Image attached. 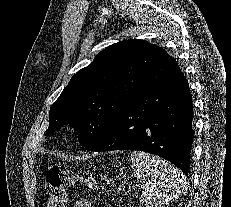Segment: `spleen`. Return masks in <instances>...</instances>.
<instances>
[{"instance_id":"1","label":"spleen","mask_w":231,"mask_h":207,"mask_svg":"<svg viewBox=\"0 0 231 207\" xmlns=\"http://www.w3.org/2000/svg\"><path fill=\"white\" fill-rule=\"evenodd\" d=\"M131 162L137 178L145 182L141 201L146 207H163L187 190L186 177L165 160L135 151L131 154Z\"/></svg>"}]
</instances>
